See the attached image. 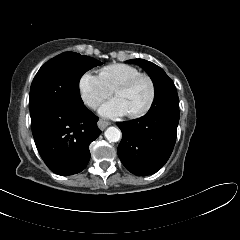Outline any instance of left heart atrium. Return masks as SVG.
Wrapping results in <instances>:
<instances>
[{"mask_svg":"<svg viewBox=\"0 0 240 240\" xmlns=\"http://www.w3.org/2000/svg\"><path fill=\"white\" fill-rule=\"evenodd\" d=\"M99 113L107 118H117L130 113L127 103L121 97H114L105 102L99 109Z\"/></svg>","mask_w":240,"mask_h":240,"instance_id":"obj_1","label":"left heart atrium"}]
</instances>
